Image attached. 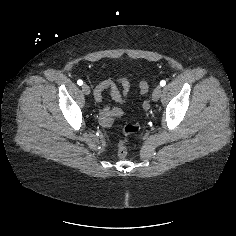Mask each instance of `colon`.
Masks as SVG:
<instances>
[{
  "label": "colon",
  "mask_w": 236,
  "mask_h": 236,
  "mask_svg": "<svg viewBox=\"0 0 236 236\" xmlns=\"http://www.w3.org/2000/svg\"><path fill=\"white\" fill-rule=\"evenodd\" d=\"M141 94H146L148 92V83L146 81H142L139 85ZM141 129L140 122H135L132 124H127L122 128V133L125 136L134 134ZM117 154L119 157L124 158L127 155V148L124 143H121L118 147Z\"/></svg>",
  "instance_id": "1"
}]
</instances>
